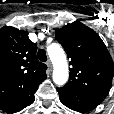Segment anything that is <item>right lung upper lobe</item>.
Masks as SVG:
<instances>
[{
	"label": "right lung upper lobe",
	"mask_w": 114,
	"mask_h": 114,
	"mask_svg": "<svg viewBox=\"0 0 114 114\" xmlns=\"http://www.w3.org/2000/svg\"><path fill=\"white\" fill-rule=\"evenodd\" d=\"M36 50L28 32L0 29V106L31 94L46 79L47 67L37 60Z\"/></svg>",
	"instance_id": "cb5924a9"
}]
</instances>
